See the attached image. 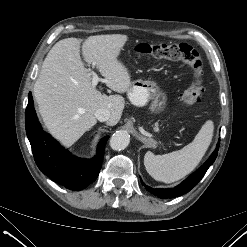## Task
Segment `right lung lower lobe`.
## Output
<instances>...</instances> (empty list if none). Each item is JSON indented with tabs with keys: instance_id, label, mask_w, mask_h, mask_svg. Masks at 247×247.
<instances>
[{
	"instance_id": "obj_1",
	"label": "right lung lower lobe",
	"mask_w": 247,
	"mask_h": 247,
	"mask_svg": "<svg viewBox=\"0 0 247 247\" xmlns=\"http://www.w3.org/2000/svg\"><path fill=\"white\" fill-rule=\"evenodd\" d=\"M26 133L38 168L55 183L78 191L96 180L101 169L104 150L109 136L101 139L97 154L92 159H81L63 149L46 134L38 121L31 93L25 112Z\"/></svg>"
}]
</instances>
